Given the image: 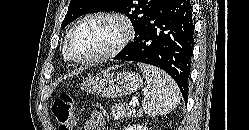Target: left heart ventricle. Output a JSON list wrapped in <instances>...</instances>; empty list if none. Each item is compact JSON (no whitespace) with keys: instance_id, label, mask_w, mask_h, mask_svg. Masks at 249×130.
Listing matches in <instances>:
<instances>
[{"instance_id":"obj_1","label":"left heart ventricle","mask_w":249,"mask_h":130,"mask_svg":"<svg viewBox=\"0 0 249 130\" xmlns=\"http://www.w3.org/2000/svg\"><path fill=\"white\" fill-rule=\"evenodd\" d=\"M122 26L119 22L95 18L82 23L75 31L70 52L77 58H86L110 50L121 38Z\"/></svg>"}]
</instances>
